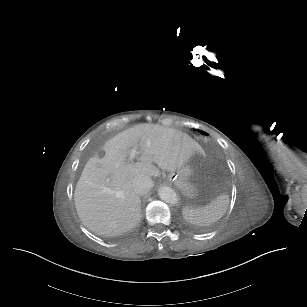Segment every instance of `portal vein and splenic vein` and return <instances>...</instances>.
I'll use <instances>...</instances> for the list:
<instances>
[{"label": "portal vein and splenic vein", "mask_w": 307, "mask_h": 307, "mask_svg": "<svg viewBox=\"0 0 307 307\" xmlns=\"http://www.w3.org/2000/svg\"><path fill=\"white\" fill-rule=\"evenodd\" d=\"M141 153H142L141 151H137V147H133L130 151V159L135 158L136 155H140ZM102 189L104 192H108V193L111 192L110 188L103 187Z\"/></svg>", "instance_id": "18ae733b"}]
</instances>
